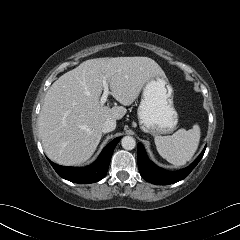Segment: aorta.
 <instances>
[{"mask_svg":"<svg viewBox=\"0 0 240 240\" xmlns=\"http://www.w3.org/2000/svg\"><path fill=\"white\" fill-rule=\"evenodd\" d=\"M121 145L125 150H132L136 146V141L131 136H125L121 140Z\"/></svg>","mask_w":240,"mask_h":240,"instance_id":"aorta-1","label":"aorta"}]
</instances>
